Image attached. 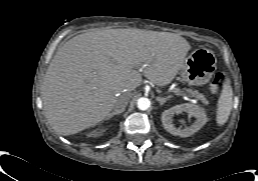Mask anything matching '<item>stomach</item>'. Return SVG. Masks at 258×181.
<instances>
[{"instance_id":"1","label":"stomach","mask_w":258,"mask_h":181,"mask_svg":"<svg viewBox=\"0 0 258 181\" xmlns=\"http://www.w3.org/2000/svg\"><path fill=\"white\" fill-rule=\"evenodd\" d=\"M215 54L206 49L198 48L185 58L180 70L181 79L189 85H203L209 82L216 71Z\"/></svg>"}]
</instances>
